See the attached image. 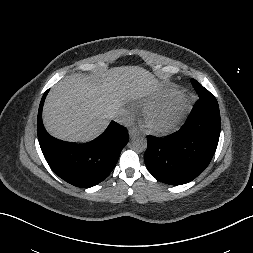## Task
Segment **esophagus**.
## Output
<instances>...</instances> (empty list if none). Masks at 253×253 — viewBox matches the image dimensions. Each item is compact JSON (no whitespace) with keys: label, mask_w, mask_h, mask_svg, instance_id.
Segmentation results:
<instances>
[{"label":"esophagus","mask_w":253,"mask_h":253,"mask_svg":"<svg viewBox=\"0 0 253 253\" xmlns=\"http://www.w3.org/2000/svg\"><path fill=\"white\" fill-rule=\"evenodd\" d=\"M128 133H129V136H130V137H133V136H135V135L138 133V130H137L136 128L133 127V128H130V129H129V132H128Z\"/></svg>","instance_id":"1"}]
</instances>
